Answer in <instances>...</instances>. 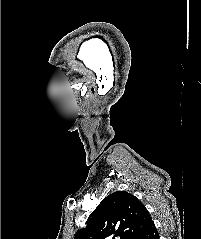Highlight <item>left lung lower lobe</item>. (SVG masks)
I'll list each match as a JSON object with an SVG mask.
<instances>
[{"label":"left lung lower lobe","instance_id":"0a47b994","mask_svg":"<svg viewBox=\"0 0 201 239\" xmlns=\"http://www.w3.org/2000/svg\"><path fill=\"white\" fill-rule=\"evenodd\" d=\"M134 239H159V234L153 221L150 220Z\"/></svg>","mask_w":201,"mask_h":239}]
</instances>
